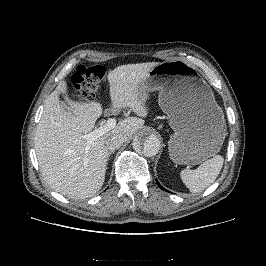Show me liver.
I'll return each mask as SVG.
<instances>
[{"instance_id": "6515ba94", "label": "liver", "mask_w": 266, "mask_h": 266, "mask_svg": "<svg viewBox=\"0 0 266 266\" xmlns=\"http://www.w3.org/2000/svg\"><path fill=\"white\" fill-rule=\"evenodd\" d=\"M158 62L127 64L109 72V94L113 109L131 108L138 117L120 121L88 147L82 138L95 127L102 115L99 102H75L68 96L67 83L61 81L47 97L35 133V151L40 171L46 183L68 198L94 196L103 186L108 161L105 141L112 135H122L125 141L142 129L147 117L146 97L141 96V84ZM63 94L72 113L60 107ZM88 147V148H87Z\"/></svg>"}]
</instances>
